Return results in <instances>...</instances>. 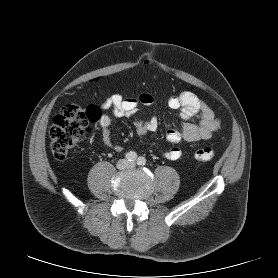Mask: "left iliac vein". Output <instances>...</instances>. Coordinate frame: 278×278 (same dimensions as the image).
Returning a JSON list of instances; mask_svg holds the SVG:
<instances>
[{
  "instance_id": "1",
  "label": "left iliac vein",
  "mask_w": 278,
  "mask_h": 278,
  "mask_svg": "<svg viewBox=\"0 0 278 278\" xmlns=\"http://www.w3.org/2000/svg\"><path fill=\"white\" fill-rule=\"evenodd\" d=\"M134 166H135L134 163H130V164H129V167H130V168H133Z\"/></svg>"
}]
</instances>
